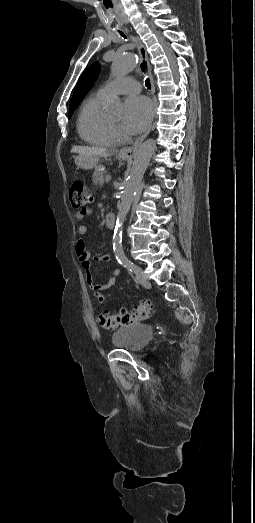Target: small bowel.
<instances>
[{
	"label": "small bowel",
	"instance_id": "1",
	"mask_svg": "<svg viewBox=\"0 0 255 523\" xmlns=\"http://www.w3.org/2000/svg\"><path fill=\"white\" fill-rule=\"evenodd\" d=\"M92 214V210L90 208H83L76 212L75 217L77 220L82 221L86 216ZM78 239L76 242V255L79 259V262L83 269L86 271V280L89 287L95 291H106L110 288H112L120 275L119 269H114L111 276L105 283H96L92 277V274L90 272L91 267V260L92 258L95 260H104L111 262L112 257L109 253L96 255L92 257L91 253L87 250L85 246V236L88 232V227L85 224H82L78 227Z\"/></svg>",
	"mask_w": 255,
	"mask_h": 523
}]
</instances>
